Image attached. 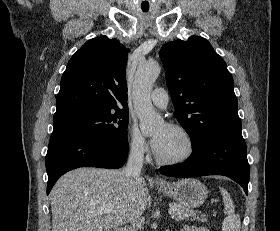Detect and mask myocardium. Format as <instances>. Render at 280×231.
Masks as SVG:
<instances>
[{
	"mask_svg": "<svg viewBox=\"0 0 280 231\" xmlns=\"http://www.w3.org/2000/svg\"><path fill=\"white\" fill-rule=\"evenodd\" d=\"M169 127L185 138L187 150L184 154L172 158H164L157 154L156 159L162 165L174 166L182 164L193 157L196 151V142L193 134L187 128L176 124H170Z\"/></svg>",
	"mask_w": 280,
	"mask_h": 231,
	"instance_id": "f54148a6",
	"label": "myocardium"
}]
</instances>
